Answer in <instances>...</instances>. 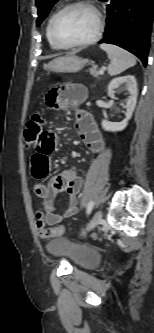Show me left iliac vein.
Segmentation results:
<instances>
[{
  "label": "left iliac vein",
  "instance_id": "obj_1",
  "mask_svg": "<svg viewBox=\"0 0 154 333\" xmlns=\"http://www.w3.org/2000/svg\"><path fill=\"white\" fill-rule=\"evenodd\" d=\"M101 219H102V212L100 210H98L93 215V217L87 227V230H86V232L83 233V235H86L87 232L94 229L101 222Z\"/></svg>",
  "mask_w": 154,
  "mask_h": 333
}]
</instances>
